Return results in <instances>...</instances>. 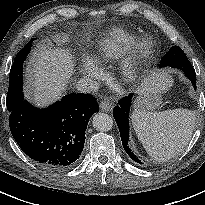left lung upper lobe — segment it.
<instances>
[{
	"instance_id": "left-lung-upper-lobe-1",
	"label": "left lung upper lobe",
	"mask_w": 205,
	"mask_h": 205,
	"mask_svg": "<svg viewBox=\"0 0 205 205\" xmlns=\"http://www.w3.org/2000/svg\"><path fill=\"white\" fill-rule=\"evenodd\" d=\"M159 66L184 67L191 66V64L183 50L179 46H173L170 48L169 52L163 57Z\"/></svg>"
}]
</instances>
